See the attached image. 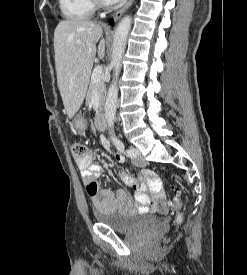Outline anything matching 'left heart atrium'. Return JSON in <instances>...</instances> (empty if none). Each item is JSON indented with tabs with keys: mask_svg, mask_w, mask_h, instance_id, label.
<instances>
[{
	"mask_svg": "<svg viewBox=\"0 0 247 275\" xmlns=\"http://www.w3.org/2000/svg\"><path fill=\"white\" fill-rule=\"evenodd\" d=\"M108 1H110V2H118L120 0H108Z\"/></svg>",
	"mask_w": 247,
	"mask_h": 275,
	"instance_id": "1",
	"label": "left heart atrium"
}]
</instances>
